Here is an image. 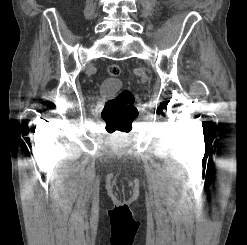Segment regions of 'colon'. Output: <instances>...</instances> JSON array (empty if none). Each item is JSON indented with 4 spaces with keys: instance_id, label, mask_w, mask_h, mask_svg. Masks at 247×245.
Returning a JSON list of instances; mask_svg holds the SVG:
<instances>
[{
    "instance_id": "colon-1",
    "label": "colon",
    "mask_w": 247,
    "mask_h": 245,
    "mask_svg": "<svg viewBox=\"0 0 247 245\" xmlns=\"http://www.w3.org/2000/svg\"><path fill=\"white\" fill-rule=\"evenodd\" d=\"M120 72L121 69L117 64H111L108 67L110 76L116 77L120 75ZM137 115L134 94L128 89L122 90L118 95L107 100L101 112V117L108 130L121 133L131 130Z\"/></svg>"
}]
</instances>
